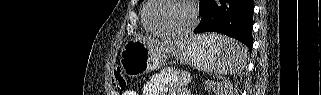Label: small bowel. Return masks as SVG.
Listing matches in <instances>:
<instances>
[{"label":"small bowel","instance_id":"small-bowel-1","mask_svg":"<svg viewBox=\"0 0 321 95\" xmlns=\"http://www.w3.org/2000/svg\"><path fill=\"white\" fill-rule=\"evenodd\" d=\"M154 83H149L145 88V95H160L161 93L155 92L153 90ZM124 95H136L134 92H126Z\"/></svg>","mask_w":321,"mask_h":95}]
</instances>
